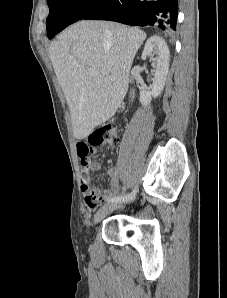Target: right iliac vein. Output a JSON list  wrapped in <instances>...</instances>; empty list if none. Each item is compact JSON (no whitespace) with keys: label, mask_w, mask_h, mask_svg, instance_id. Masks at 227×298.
I'll return each instance as SVG.
<instances>
[{"label":"right iliac vein","mask_w":227,"mask_h":298,"mask_svg":"<svg viewBox=\"0 0 227 298\" xmlns=\"http://www.w3.org/2000/svg\"><path fill=\"white\" fill-rule=\"evenodd\" d=\"M122 206V203H110L106 204L103 207H101L97 213L94 216V223L100 222L105 216H107L109 213L113 212L114 210L120 208Z\"/></svg>","instance_id":"1"}]
</instances>
